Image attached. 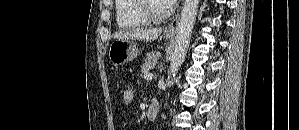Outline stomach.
Wrapping results in <instances>:
<instances>
[{
	"label": "stomach",
	"mask_w": 299,
	"mask_h": 130,
	"mask_svg": "<svg viewBox=\"0 0 299 130\" xmlns=\"http://www.w3.org/2000/svg\"><path fill=\"white\" fill-rule=\"evenodd\" d=\"M166 39H171L173 34H164ZM138 53V48L133 40H115L109 48V59L114 65H123L133 60Z\"/></svg>",
	"instance_id": "stomach-1"
}]
</instances>
